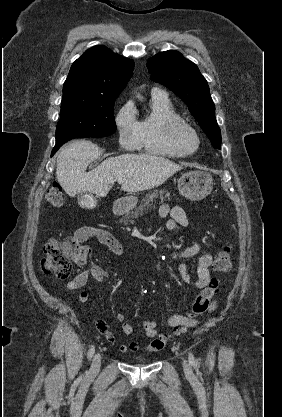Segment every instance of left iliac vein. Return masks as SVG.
Here are the masks:
<instances>
[{
    "label": "left iliac vein",
    "instance_id": "4c4485c4",
    "mask_svg": "<svg viewBox=\"0 0 282 417\" xmlns=\"http://www.w3.org/2000/svg\"><path fill=\"white\" fill-rule=\"evenodd\" d=\"M182 365H183V369H184L185 373L190 375L191 374V368H190L188 362L186 360H183Z\"/></svg>",
    "mask_w": 282,
    "mask_h": 417
}]
</instances>
